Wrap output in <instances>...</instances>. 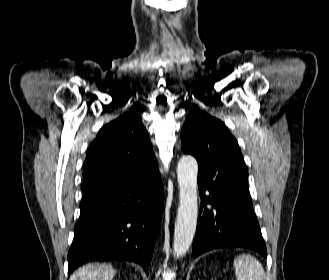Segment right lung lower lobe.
I'll list each match as a JSON object with an SVG mask.
<instances>
[{"label": "right lung lower lobe", "instance_id": "obj_1", "mask_svg": "<svg viewBox=\"0 0 329 280\" xmlns=\"http://www.w3.org/2000/svg\"><path fill=\"white\" fill-rule=\"evenodd\" d=\"M162 206L159 171L133 180H110L86 191L68 252V275L95 260L132 261L148 274Z\"/></svg>", "mask_w": 329, "mask_h": 280}]
</instances>
